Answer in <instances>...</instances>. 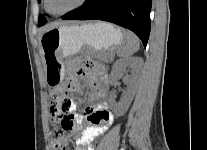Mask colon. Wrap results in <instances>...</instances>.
<instances>
[{
	"label": "colon",
	"instance_id": "5ec220e1",
	"mask_svg": "<svg viewBox=\"0 0 207 150\" xmlns=\"http://www.w3.org/2000/svg\"><path fill=\"white\" fill-rule=\"evenodd\" d=\"M64 93L51 95L50 123L55 125L51 132L52 150H77L76 137L72 134V120L67 107L70 99H65Z\"/></svg>",
	"mask_w": 207,
	"mask_h": 150
}]
</instances>
